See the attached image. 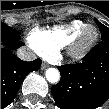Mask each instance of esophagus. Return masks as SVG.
Masks as SVG:
<instances>
[{
    "instance_id": "34e87169",
    "label": "esophagus",
    "mask_w": 109,
    "mask_h": 109,
    "mask_svg": "<svg viewBox=\"0 0 109 109\" xmlns=\"http://www.w3.org/2000/svg\"><path fill=\"white\" fill-rule=\"evenodd\" d=\"M46 68H48V64L43 62L42 65H41V69L45 70Z\"/></svg>"
}]
</instances>
